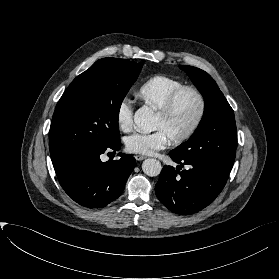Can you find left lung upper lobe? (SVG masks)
I'll list each match as a JSON object with an SVG mask.
<instances>
[{
    "label": "left lung upper lobe",
    "mask_w": 279,
    "mask_h": 279,
    "mask_svg": "<svg viewBox=\"0 0 279 279\" xmlns=\"http://www.w3.org/2000/svg\"><path fill=\"white\" fill-rule=\"evenodd\" d=\"M180 68L187 72L201 92L205 109L193 135L171 152L183 160L212 162L231 171L237 141L233 109L208 73L188 65Z\"/></svg>",
    "instance_id": "left-lung-upper-lobe-1"
}]
</instances>
